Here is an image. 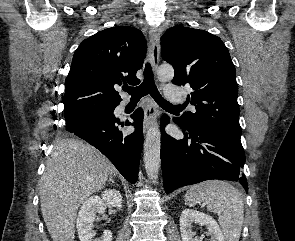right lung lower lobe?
<instances>
[{
  "mask_svg": "<svg viewBox=\"0 0 295 241\" xmlns=\"http://www.w3.org/2000/svg\"><path fill=\"white\" fill-rule=\"evenodd\" d=\"M113 111L85 114L66 121V130L98 148L130 183H135L143 146V110L138 108L131 115L134 123L115 117ZM128 125H134L135 131L125 135L121 127Z\"/></svg>",
  "mask_w": 295,
  "mask_h": 241,
  "instance_id": "right-lung-lower-lobe-1",
  "label": "right lung lower lobe"
}]
</instances>
